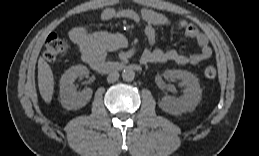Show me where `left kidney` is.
Returning <instances> with one entry per match:
<instances>
[{
  "mask_svg": "<svg viewBox=\"0 0 259 156\" xmlns=\"http://www.w3.org/2000/svg\"><path fill=\"white\" fill-rule=\"evenodd\" d=\"M164 77L182 80L185 90L178 100H173L169 96L163 97L159 102V106L163 111L179 115L194 109L198 105L201 100L202 90L198 78L194 74L184 70H167Z\"/></svg>",
  "mask_w": 259,
  "mask_h": 156,
  "instance_id": "left-kidney-1",
  "label": "left kidney"
}]
</instances>
